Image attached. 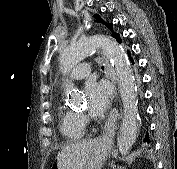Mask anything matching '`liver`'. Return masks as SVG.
I'll return each mask as SVG.
<instances>
[{
	"label": "liver",
	"mask_w": 177,
	"mask_h": 169,
	"mask_svg": "<svg viewBox=\"0 0 177 169\" xmlns=\"http://www.w3.org/2000/svg\"><path fill=\"white\" fill-rule=\"evenodd\" d=\"M98 143L90 139L66 146L57 155V169H83Z\"/></svg>",
	"instance_id": "liver-1"
}]
</instances>
